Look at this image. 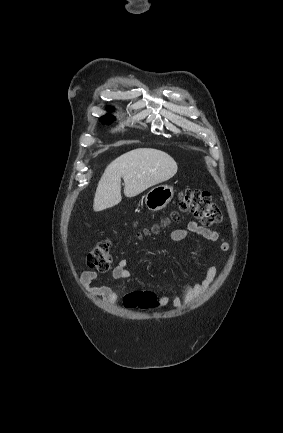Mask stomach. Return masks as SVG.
Instances as JSON below:
<instances>
[{
	"instance_id": "stomach-1",
	"label": "stomach",
	"mask_w": 283,
	"mask_h": 433,
	"mask_svg": "<svg viewBox=\"0 0 283 433\" xmlns=\"http://www.w3.org/2000/svg\"><path fill=\"white\" fill-rule=\"evenodd\" d=\"M174 196V188L170 184L154 186L145 196V204L149 210H161Z\"/></svg>"
}]
</instances>
